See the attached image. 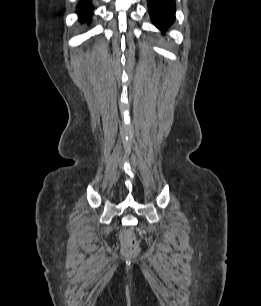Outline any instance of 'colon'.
<instances>
[{
  "instance_id": "1",
  "label": "colon",
  "mask_w": 261,
  "mask_h": 306,
  "mask_svg": "<svg viewBox=\"0 0 261 306\" xmlns=\"http://www.w3.org/2000/svg\"><path fill=\"white\" fill-rule=\"evenodd\" d=\"M121 249L125 254H133L138 249V243L131 231H124L120 236Z\"/></svg>"
}]
</instances>
